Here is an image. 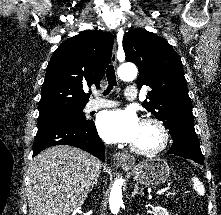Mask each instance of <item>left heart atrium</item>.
<instances>
[{
    "label": "left heart atrium",
    "mask_w": 221,
    "mask_h": 215,
    "mask_svg": "<svg viewBox=\"0 0 221 215\" xmlns=\"http://www.w3.org/2000/svg\"><path fill=\"white\" fill-rule=\"evenodd\" d=\"M141 123L132 110L102 112L97 120L100 135L108 142L134 143Z\"/></svg>",
    "instance_id": "39dd6f15"
}]
</instances>
